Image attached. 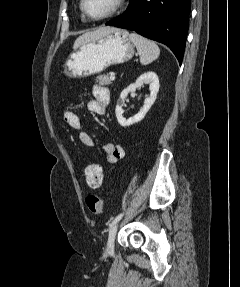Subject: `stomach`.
Wrapping results in <instances>:
<instances>
[{
  "mask_svg": "<svg viewBox=\"0 0 240 287\" xmlns=\"http://www.w3.org/2000/svg\"><path fill=\"white\" fill-rule=\"evenodd\" d=\"M134 52L128 31L115 28L100 38L76 47L65 63L64 73L70 78L87 77L130 60Z\"/></svg>",
  "mask_w": 240,
  "mask_h": 287,
  "instance_id": "obj_1",
  "label": "stomach"
}]
</instances>
